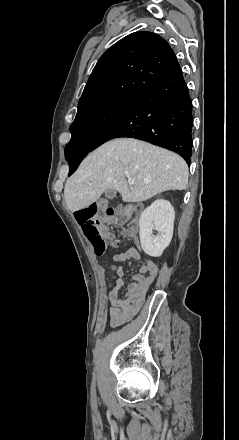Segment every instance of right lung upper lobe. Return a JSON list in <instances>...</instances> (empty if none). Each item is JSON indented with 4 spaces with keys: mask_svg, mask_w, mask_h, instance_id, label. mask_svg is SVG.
Returning a JSON list of instances; mask_svg holds the SVG:
<instances>
[{
    "mask_svg": "<svg viewBox=\"0 0 239 440\" xmlns=\"http://www.w3.org/2000/svg\"><path fill=\"white\" fill-rule=\"evenodd\" d=\"M178 64L159 35L139 31L112 47L99 59L78 103V111L116 96L138 97Z\"/></svg>",
    "mask_w": 239,
    "mask_h": 440,
    "instance_id": "obj_1",
    "label": "right lung upper lobe"
}]
</instances>
